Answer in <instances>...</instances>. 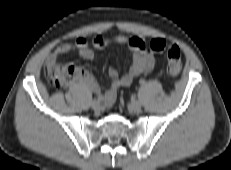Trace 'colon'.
<instances>
[{"instance_id":"5ec220e1","label":"colon","mask_w":231,"mask_h":170,"mask_svg":"<svg viewBox=\"0 0 231 170\" xmlns=\"http://www.w3.org/2000/svg\"><path fill=\"white\" fill-rule=\"evenodd\" d=\"M150 49L154 52H166L167 55V75L170 79H175L181 72V51L176 45H167L163 39L156 38L150 42ZM45 75L51 87L60 89L69 85L74 79L84 76L85 71L70 64L45 65Z\"/></svg>"}]
</instances>
